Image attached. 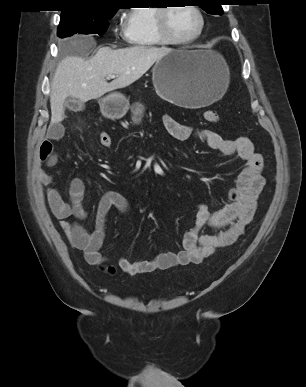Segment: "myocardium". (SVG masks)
<instances>
[{"instance_id":"f54148a6","label":"myocardium","mask_w":306,"mask_h":387,"mask_svg":"<svg viewBox=\"0 0 306 387\" xmlns=\"http://www.w3.org/2000/svg\"><path fill=\"white\" fill-rule=\"evenodd\" d=\"M187 6L190 7L198 16L199 27L193 36L186 39L175 38L170 33L169 26H168V16L173 7L163 6V7L157 8L156 15H155L156 31L159 38L164 44L188 45L197 41L203 34V31L205 28V17L202 10L197 5H194V4H190Z\"/></svg>"}]
</instances>
